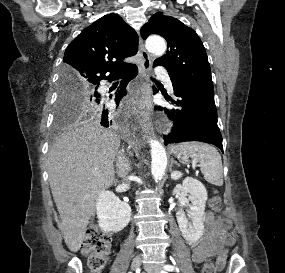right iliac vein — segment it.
Masks as SVG:
<instances>
[{"mask_svg":"<svg viewBox=\"0 0 285 273\" xmlns=\"http://www.w3.org/2000/svg\"><path fill=\"white\" fill-rule=\"evenodd\" d=\"M141 259L142 258L140 255L135 256L131 262V269L133 270L137 269L141 264Z\"/></svg>","mask_w":285,"mask_h":273,"instance_id":"obj_1","label":"right iliac vein"}]
</instances>
